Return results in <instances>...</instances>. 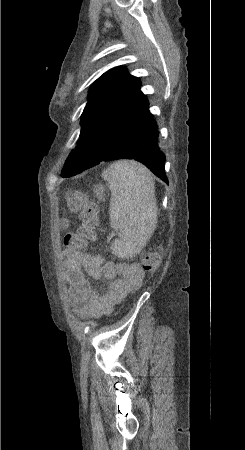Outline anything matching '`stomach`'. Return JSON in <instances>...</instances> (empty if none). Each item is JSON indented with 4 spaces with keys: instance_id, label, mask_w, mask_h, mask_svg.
Segmentation results:
<instances>
[{
    "instance_id": "stomach-1",
    "label": "stomach",
    "mask_w": 245,
    "mask_h": 450,
    "mask_svg": "<svg viewBox=\"0 0 245 450\" xmlns=\"http://www.w3.org/2000/svg\"><path fill=\"white\" fill-rule=\"evenodd\" d=\"M93 192L98 200H104L106 194H105V187L103 185L101 184L95 185Z\"/></svg>"
}]
</instances>
